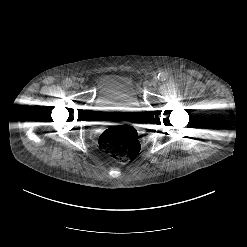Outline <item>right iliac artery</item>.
I'll return each mask as SVG.
<instances>
[{
    "mask_svg": "<svg viewBox=\"0 0 247 247\" xmlns=\"http://www.w3.org/2000/svg\"><path fill=\"white\" fill-rule=\"evenodd\" d=\"M63 84L66 88H69L72 85V81L70 79H66L64 80Z\"/></svg>",
    "mask_w": 247,
    "mask_h": 247,
    "instance_id": "1",
    "label": "right iliac artery"
}]
</instances>
